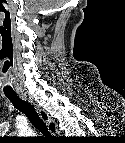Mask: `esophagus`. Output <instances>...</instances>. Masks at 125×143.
Wrapping results in <instances>:
<instances>
[{
	"label": "esophagus",
	"instance_id": "34e87169",
	"mask_svg": "<svg viewBox=\"0 0 125 143\" xmlns=\"http://www.w3.org/2000/svg\"><path fill=\"white\" fill-rule=\"evenodd\" d=\"M21 97L24 98V95H22ZM35 109L37 110L40 118L45 122L50 133L52 135L58 134L57 125L55 123V120L52 117H50L48 112L40 108L38 105H35Z\"/></svg>",
	"mask_w": 125,
	"mask_h": 143
}]
</instances>
